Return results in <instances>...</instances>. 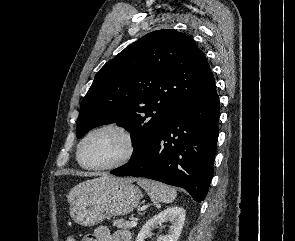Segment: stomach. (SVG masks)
<instances>
[{"label":"stomach","instance_id":"obj_1","mask_svg":"<svg viewBox=\"0 0 295 241\" xmlns=\"http://www.w3.org/2000/svg\"><path fill=\"white\" fill-rule=\"evenodd\" d=\"M140 189L126 179L98 185L71 202L70 217L82 226H95L109 217L126 215L139 204Z\"/></svg>","mask_w":295,"mask_h":241}]
</instances>
